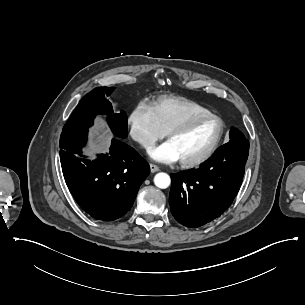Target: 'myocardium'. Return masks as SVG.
<instances>
[{"mask_svg": "<svg viewBox=\"0 0 305 305\" xmlns=\"http://www.w3.org/2000/svg\"><path fill=\"white\" fill-rule=\"evenodd\" d=\"M210 118H217L221 122L220 135H219L218 139L216 140V142L199 157H196L194 159H189V160H180L181 164L185 168H193L195 166L205 163L219 150V148L224 143L226 134L228 132L227 124H226L225 120L219 114L209 111L206 114H201V115H196V116L186 118V119L174 124L167 130L166 136L169 139L171 135L182 132V131L186 130L187 128H189L191 125H193L195 123L206 121Z\"/></svg>", "mask_w": 305, "mask_h": 305, "instance_id": "f54148a6", "label": "myocardium"}]
</instances>
